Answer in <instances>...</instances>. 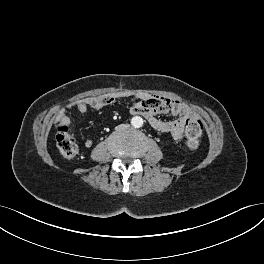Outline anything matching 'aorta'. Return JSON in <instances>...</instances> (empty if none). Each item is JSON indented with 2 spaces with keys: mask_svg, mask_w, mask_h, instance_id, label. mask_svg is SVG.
Wrapping results in <instances>:
<instances>
[{
  "mask_svg": "<svg viewBox=\"0 0 264 264\" xmlns=\"http://www.w3.org/2000/svg\"><path fill=\"white\" fill-rule=\"evenodd\" d=\"M131 125L135 128H140L143 126V119L140 116H134L131 119Z\"/></svg>",
  "mask_w": 264,
  "mask_h": 264,
  "instance_id": "762f6f07",
  "label": "aorta"
}]
</instances>
